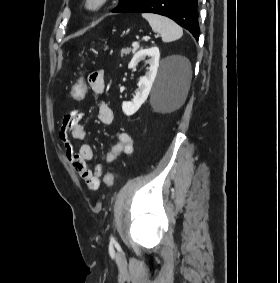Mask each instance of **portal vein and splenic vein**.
<instances>
[{"label":"portal vein and splenic vein","instance_id":"obj_1","mask_svg":"<svg viewBox=\"0 0 280 283\" xmlns=\"http://www.w3.org/2000/svg\"><path fill=\"white\" fill-rule=\"evenodd\" d=\"M159 35H156L155 37H158ZM136 46H138V42H133L132 43V47H136Z\"/></svg>","mask_w":280,"mask_h":283}]
</instances>
